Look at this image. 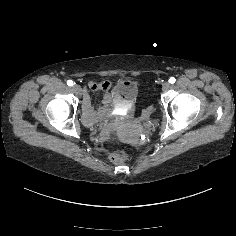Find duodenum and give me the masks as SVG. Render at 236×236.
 I'll return each mask as SVG.
<instances>
[{"label":"duodenum","mask_w":236,"mask_h":236,"mask_svg":"<svg viewBox=\"0 0 236 236\" xmlns=\"http://www.w3.org/2000/svg\"><path fill=\"white\" fill-rule=\"evenodd\" d=\"M109 102H110V97H109V95H106L105 99H104L105 106L101 107L98 111H95L93 109L92 104H91L90 96L88 94H85L84 95V105H83L84 120L88 124H93L94 122L99 120L101 117H103L108 112Z\"/></svg>","instance_id":"obj_1"}]
</instances>
